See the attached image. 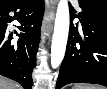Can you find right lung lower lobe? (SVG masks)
Listing matches in <instances>:
<instances>
[{"mask_svg": "<svg viewBox=\"0 0 107 89\" xmlns=\"http://www.w3.org/2000/svg\"><path fill=\"white\" fill-rule=\"evenodd\" d=\"M21 23V38L17 42L6 40L7 23L15 17ZM44 13L43 0H7L0 3V75L20 83L24 89L32 88V71L36 65L39 31Z\"/></svg>", "mask_w": 107, "mask_h": 89, "instance_id": "1", "label": "right lung lower lobe"}]
</instances>
